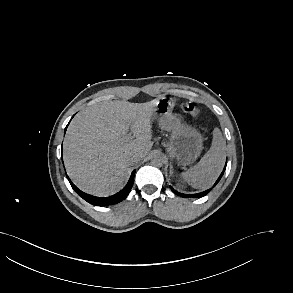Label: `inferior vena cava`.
Listing matches in <instances>:
<instances>
[{
  "instance_id": "1",
  "label": "inferior vena cava",
  "mask_w": 293,
  "mask_h": 293,
  "mask_svg": "<svg viewBox=\"0 0 293 293\" xmlns=\"http://www.w3.org/2000/svg\"><path fill=\"white\" fill-rule=\"evenodd\" d=\"M141 159V155L138 153H132L127 158V163L129 166L137 164Z\"/></svg>"
}]
</instances>
